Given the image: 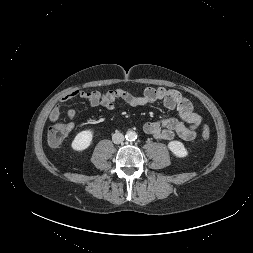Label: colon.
I'll list each match as a JSON object with an SVG mask.
<instances>
[{"mask_svg":"<svg viewBox=\"0 0 253 253\" xmlns=\"http://www.w3.org/2000/svg\"><path fill=\"white\" fill-rule=\"evenodd\" d=\"M72 127L69 123H58L50 127L47 135L48 143L53 146H59L69 135ZM201 135L203 139L210 137V128L208 125H204Z\"/></svg>","mask_w":253,"mask_h":253,"instance_id":"5ec220e1","label":"colon"}]
</instances>
